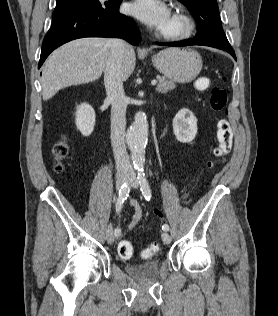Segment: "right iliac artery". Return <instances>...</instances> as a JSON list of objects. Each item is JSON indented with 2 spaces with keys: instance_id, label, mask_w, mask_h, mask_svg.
<instances>
[{
  "instance_id": "82829eb1",
  "label": "right iliac artery",
  "mask_w": 278,
  "mask_h": 316,
  "mask_svg": "<svg viewBox=\"0 0 278 316\" xmlns=\"http://www.w3.org/2000/svg\"><path fill=\"white\" fill-rule=\"evenodd\" d=\"M130 192V186L127 183H124L120 190L119 195L116 201V212L119 213L122 208V204L124 203L125 199H127ZM121 234V230L119 228H116L114 231V235L118 237Z\"/></svg>"
}]
</instances>
